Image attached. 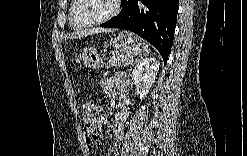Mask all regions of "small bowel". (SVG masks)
I'll return each instance as SVG.
<instances>
[{"label":"small bowel","mask_w":247,"mask_h":156,"mask_svg":"<svg viewBox=\"0 0 247 156\" xmlns=\"http://www.w3.org/2000/svg\"><path fill=\"white\" fill-rule=\"evenodd\" d=\"M102 90L106 97H115L121 104V110L116 114L115 121L112 127V136L115 143L118 145L123 141L124 138V123L127 118V109L125 106L127 100V93L125 89V81L123 75H115L111 78L104 79L102 81ZM88 107H94L93 103L86 102L83 104L84 113L88 110ZM85 117V114H84ZM83 117V121H84ZM107 122V116L101 115V121H99V127H102ZM84 140H85V151L90 154L93 151L94 141L100 138V131L96 137H90L87 135L85 126H83ZM117 155V151L114 152Z\"/></svg>","instance_id":"obj_1"}]
</instances>
